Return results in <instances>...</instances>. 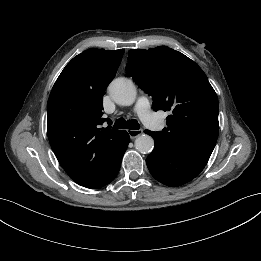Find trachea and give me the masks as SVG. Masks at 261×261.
I'll return each mask as SVG.
<instances>
[{"mask_svg":"<svg viewBox=\"0 0 261 261\" xmlns=\"http://www.w3.org/2000/svg\"><path fill=\"white\" fill-rule=\"evenodd\" d=\"M113 128L115 129H131V130H137L140 128V125L137 120H128L126 121L124 118H119L114 123Z\"/></svg>","mask_w":261,"mask_h":261,"instance_id":"1","label":"trachea"}]
</instances>
